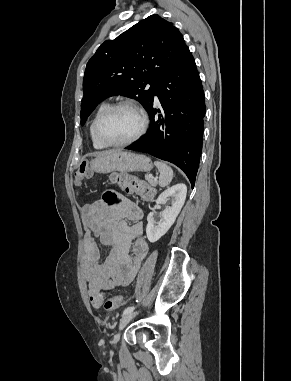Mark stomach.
<instances>
[{
  "label": "stomach",
  "instance_id": "stomach-1",
  "mask_svg": "<svg viewBox=\"0 0 291 381\" xmlns=\"http://www.w3.org/2000/svg\"><path fill=\"white\" fill-rule=\"evenodd\" d=\"M89 165L92 171L103 174L113 171H150L153 167L149 157L123 151L99 155Z\"/></svg>",
  "mask_w": 291,
  "mask_h": 381
}]
</instances>
